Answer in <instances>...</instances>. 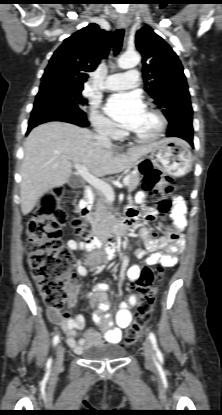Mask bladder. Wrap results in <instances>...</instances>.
<instances>
[{"label":"bladder","mask_w":222,"mask_h":415,"mask_svg":"<svg viewBox=\"0 0 222 415\" xmlns=\"http://www.w3.org/2000/svg\"><path fill=\"white\" fill-rule=\"evenodd\" d=\"M127 350L117 345L90 347L82 351V356L88 360H113L124 357Z\"/></svg>","instance_id":"31cf9c89"}]
</instances>
